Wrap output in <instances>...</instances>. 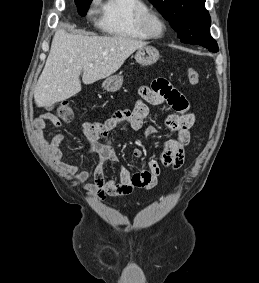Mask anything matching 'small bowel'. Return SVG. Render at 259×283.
Returning <instances> with one entry per match:
<instances>
[{"label":"small bowel","mask_w":259,"mask_h":283,"mask_svg":"<svg viewBox=\"0 0 259 283\" xmlns=\"http://www.w3.org/2000/svg\"><path fill=\"white\" fill-rule=\"evenodd\" d=\"M149 104H167L175 111L174 114L165 118V125L175 134V138L167 140L160 158L150 160L142 170L132 173L123 168L118 180L107 178L102 164L107 161L117 164L119 161L114 144L119 136L120 126L129 125L133 130L141 129L144 120L149 115ZM194 120V114L184 96L168 81L158 79L150 87L139 89V99L133 108L115 111L104 121L82 122L81 130L89 143L88 151L97 154L100 160V164L93 174L64 161L60 149L65 139L63 133L54 134L46 146L55 162L66 173L73 176L77 182H85L91 175L93 176V182L84 186L88 194L100 200L106 196L122 198L135 190L153 189L157 185L162 168L178 170L183 165L184 149L190 142V128L193 126ZM46 122H51L54 126L60 125V121L53 113L40 114L34 120V127L35 136L41 142H44ZM145 133L147 136H152L155 130L147 128ZM132 154L134 157L140 158L143 152L141 149L135 148Z\"/></svg>","instance_id":"c3829d8e"}]
</instances>
